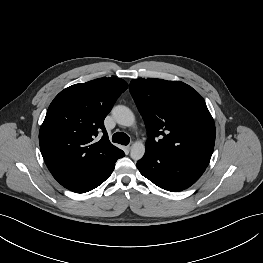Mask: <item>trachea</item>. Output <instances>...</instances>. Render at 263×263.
<instances>
[{
  "label": "trachea",
  "mask_w": 263,
  "mask_h": 263,
  "mask_svg": "<svg viewBox=\"0 0 263 263\" xmlns=\"http://www.w3.org/2000/svg\"><path fill=\"white\" fill-rule=\"evenodd\" d=\"M112 141L115 143L122 144V145H128L130 142V138L125 133L117 132L113 135Z\"/></svg>",
  "instance_id": "1"
}]
</instances>
